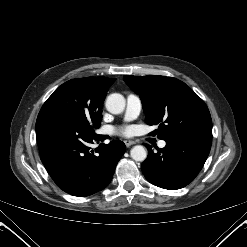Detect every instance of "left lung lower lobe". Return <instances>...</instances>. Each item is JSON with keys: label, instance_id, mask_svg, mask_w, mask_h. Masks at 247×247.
I'll use <instances>...</instances> for the list:
<instances>
[{"label": "left lung lower lobe", "instance_id": "0a47b994", "mask_svg": "<svg viewBox=\"0 0 247 247\" xmlns=\"http://www.w3.org/2000/svg\"><path fill=\"white\" fill-rule=\"evenodd\" d=\"M163 140L166 146L154 152L147 144L148 157L141 170L146 179L161 188L176 190L188 185L202 169L212 144V129L174 133Z\"/></svg>", "mask_w": 247, "mask_h": 247}]
</instances>
